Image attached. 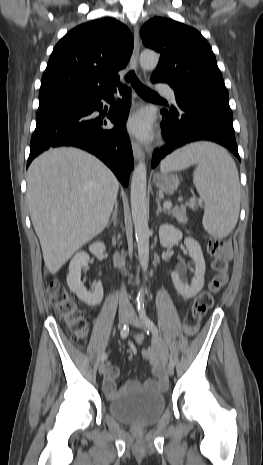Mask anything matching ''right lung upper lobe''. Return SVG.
Here are the masks:
<instances>
[{
  "mask_svg": "<svg viewBox=\"0 0 263 465\" xmlns=\"http://www.w3.org/2000/svg\"><path fill=\"white\" fill-rule=\"evenodd\" d=\"M133 44L129 29L113 18L72 29L53 49L42 76L39 101L113 91Z\"/></svg>",
  "mask_w": 263,
  "mask_h": 465,
  "instance_id": "cb5924a9",
  "label": "right lung upper lobe"
}]
</instances>
